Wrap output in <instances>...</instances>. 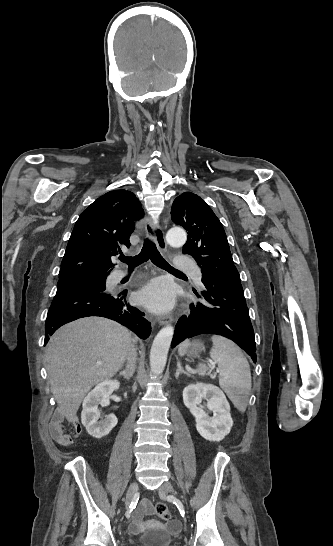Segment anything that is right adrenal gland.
<instances>
[{"instance_id": "2a0ac1e0", "label": "right adrenal gland", "mask_w": 333, "mask_h": 546, "mask_svg": "<svg viewBox=\"0 0 333 546\" xmlns=\"http://www.w3.org/2000/svg\"><path fill=\"white\" fill-rule=\"evenodd\" d=\"M134 370H123L119 373L120 376H123L125 380H130L132 378Z\"/></svg>"}]
</instances>
